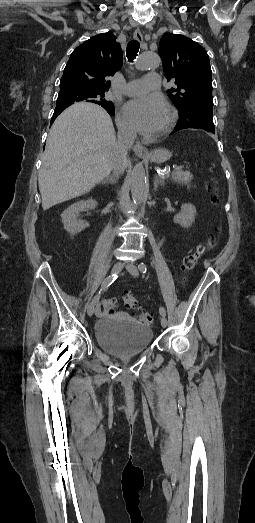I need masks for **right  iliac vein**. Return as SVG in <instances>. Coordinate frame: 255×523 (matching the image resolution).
Listing matches in <instances>:
<instances>
[{
    "mask_svg": "<svg viewBox=\"0 0 255 523\" xmlns=\"http://www.w3.org/2000/svg\"><path fill=\"white\" fill-rule=\"evenodd\" d=\"M123 267H124V263L123 262H121V261L116 262L114 264L113 268H112V273L115 274V273L120 272L123 269ZM94 311H95V303L91 302L89 304L88 310H87L88 315L92 316Z\"/></svg>",
    "mask_w": 255,
    "mask_h": 523,
    "instance_id": "right-iliac-vein-1",
    "label": "right iliac vein"
}]
</instances>
